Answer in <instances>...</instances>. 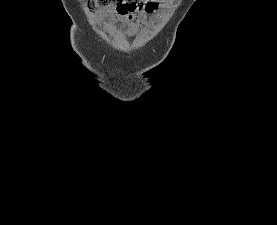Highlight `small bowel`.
<instances>
[{"instance_id": "c3829d8e", "label": "small bowel", "mask_w": 277, "mask_h": 225, "mask_svg": "<svg viewBox=\"0 0 277 225\" xmlns=\"http://www.w3.org/2000/svg\"><path fill=\"white\" fill-rule=\"evenodd\" d=\"M161 4H152L150 5L149 8H146L147 12H155L158 11L160 8ZM107 12H104L103 15H107ZM135 19V14L131 13V14H126L122 16V20L125 22H132Z\"/></svg>"}]
</instances>
